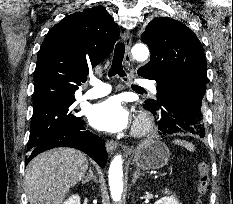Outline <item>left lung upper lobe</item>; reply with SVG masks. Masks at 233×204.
<instances>
[{
  "label": "left lung upper lobe",
  "instance_id": "left-lung-upper-lobe-1",
  "mask_svg": "<svg viewBox=\"0 0 233 204\" xmlns=\"http://www.w3.org/2000/svg\"><path fill=\"white\" fill-rule=\"evenodd\" d=\"M141 40L148 44L151 56L150 62L138 69V75L146 79L159 76L155 79L157 88L166 87L179 79L206 89L204 50L197 36L186 25L168 17H156L148 24ZM158 99L147 100L144 106L155 108L159 105Z\"/></svg>",
  "mask_w": 233,
  "mask_h": 204
}]
</instances>
